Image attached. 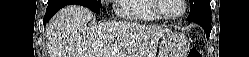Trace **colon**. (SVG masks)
Segmentation results:
<instances>
[{"label":"colon","mask_w":249,"mask_h":57,"mask_svg":"<svg viewBox=\"0 0 249 57\" xmlns=\"http://www.w3.org/2000/svg\"><path fill=\"white\" fill-rule=\"evenodd\" d=\"M188 57H202V55L198 49L193 48L189 51Z\"/></svg>","instance_id":"obj_1"}]
</instances>
